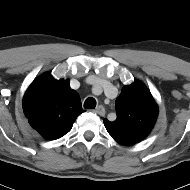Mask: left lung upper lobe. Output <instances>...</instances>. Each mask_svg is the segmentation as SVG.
I'll use <instances>...</instances> for the list:
<instances>
[{
  "instance_id": "left-lung-upper-lobe-1",
  "label": "left lung upper lobe",
  "mask_w": 190,
  "mask_h": 190,
  "mask_svg": "<svg viewBox=\"0 0 190 190\" xmlns=\"http://www.w3.org/2000/svg\"><path fill=\"white\" fill-rule=\"evenodd\" d=\"M115 121L104 120L108 133L122 145H134L154 127L158 107L148 88L140 81L124 86L116 99Z\"/></svg>"
}]
</instances>
